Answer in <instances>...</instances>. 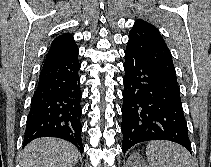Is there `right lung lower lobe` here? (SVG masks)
Wrapping results in <instances>:
<instances>
[{"label":"right lung lower lobe","instance_id":"1","mask_svg":"<svg viewBox=\"0 0 211 167\" xmlns=\"http://www.w3.org/2000/svg\"><path fill=\"white\" fill-rule=\"evenodd\" d=\"M78 56L43 66L31 99L23 147L39 137H57L83 152Z\"/></svg>","mask_w":211,"mask_h":167}]
</instances>
